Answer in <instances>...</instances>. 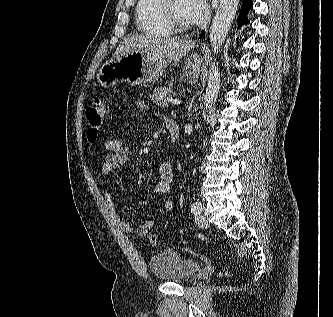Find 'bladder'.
Masks as SVG:
<instances>
[{"instance_id":"1","label":"bladder","mask_w":333,"mask_h":317,"mask_svg":"<svg viewBox=\"0 0 333 317\" xmlns=\"http://www.w3.org/2000/svg\"><path fill=\"white\" fill-rule=\"evenodd\" d=\"M149 268L160 281L183 283L195 276L200 264L172 250H163L151 256Z\"/></svg>"}]
</instances>
